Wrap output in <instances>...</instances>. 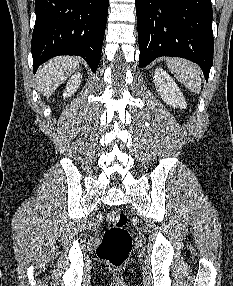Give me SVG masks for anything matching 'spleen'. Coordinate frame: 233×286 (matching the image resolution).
I'll list each match as a JSON object with an SVG mask.
<instances>
[{
    "label": "spleen",
    "instance_id": "spleen-1",
    "mask_svg": "<svg viewBox=\"0 0 233 286\" xmlns=\"http://www.w3.org/2000/svg\"><path fill=\"white\" fill-rule=\"evenodd\" d=\"M167 65L176 79L192 92L201 91L200 69L197 65L182 58H168Z\"/></svg>",
    "mask_w": 233,
    "mask_h": 286
}]
</instances>
